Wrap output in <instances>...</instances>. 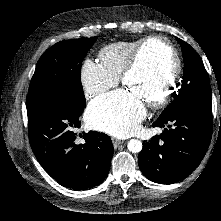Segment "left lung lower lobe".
Returning a JSON list of instances; mask_svg holds the SVG:
<instances>
[{
    "mask_svg": "<svg viewBox=\"0 0 221 221\" xmlns=\"http://www.w3.org/2000/svg\"><path fill=\"white\" fill-rule=\"evenodd\" d=\"M152 126L164 132L143 143L139 167L149 180L172 184L190 175L205 156L212 135V108L192 105L159 117Z\"/></svg>",
    "mask_w": 221,
    "mask_h": 221,
    "instance_id": "obj_1",
    "label": "left lung lower lobe"
}]
</instances>
